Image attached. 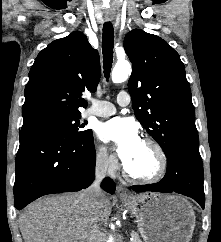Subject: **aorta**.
<instances>
[{"instance_id": "1", "label": "aorta", "mask_w": 221, "mask_h": 242, "mask_svg": "<svg viewBox=\"0 0 221 242\" xmlns=\"http://www.w3.org/2000/svg\"><path fill=\"white\" fill-rule=\"evenodd\" d=\"M132 72L131 65L128 61H119L113 68L112 81L113 83L125 82ZM107 242H113V238L110 237Z\"/></svg>"}]
</instances>
